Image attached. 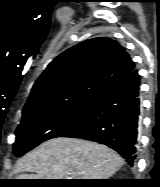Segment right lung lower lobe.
Returning <instances> with one entry per match:
<instances>
[{
  "label": "right lung lower lobe",
  "instance_id": "98d812e1",
  "mask_svg": "<svg viewBox=\"0 0 160 187\" xmlns=\"http://www.w3.org/2000/svg\"><path fill=\"white\" fill-rule=\"evenodd\" d=\"M140 110V76L134 69L99 99L92 115L61 137L105 144L116 150L130 166H134Z\"/></svg>",
  "mask_w": 160,
  "mask_h": 187
}]
</instances>
